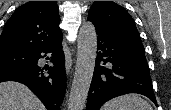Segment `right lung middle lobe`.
<instances>
[{"label": "right lung middle lobe", "instance_id": "obj_1", "mask_svg": "<svg viewBox=\"0 0 171 110\" xmlns=\"http://www.w3.org/2000/svg\"><path fill=\"white\" fill-rule=\"evenodd\" d=\"M34 52L23 50L0 51V71L24 67L32 63Z\"/></svg>", "mask_w": 171, "mask_h": 110}]
</instances>
